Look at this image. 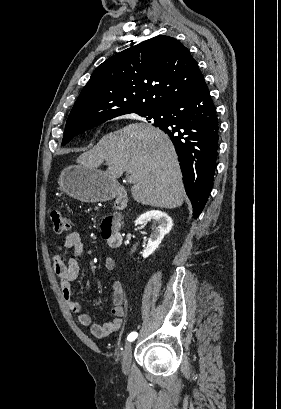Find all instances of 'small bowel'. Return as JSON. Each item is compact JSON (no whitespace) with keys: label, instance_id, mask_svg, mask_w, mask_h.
<instances>
[{"label":"small bowel","instance_id":"1","mask_svg":"<svg viewBox=\"0 0 281 409\" xmlns=\"http://www.w3.org/2000/svg\"><path fill=\"white\" fill-rule=\"evenodd\" d=\"M83 242L77 232L67 234L57 247V252L53 257L54 271L60 279L62 296L68 307L78 314V321L81 325L89 327L91 334L96 338H104L120 330L124 323V289L119 281L112 283V313L115 318L104 324L94 323L89 314L82 311V306L73 297L72 283L79 273V264L75 256L83 251ZM116 263L112 257H107L104 267L107 271H113ZM87 291H91V284L85 283Z\"/></svg>","mask_w":281,"mask_h":409}]
</instances>
